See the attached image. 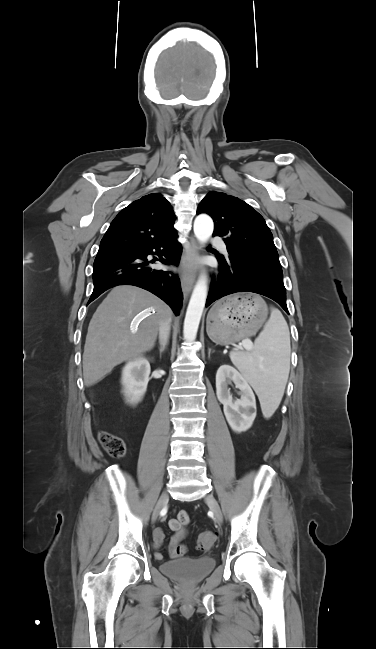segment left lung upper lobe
<instances>
[{"mask_svg": "<svg viewBox=\"0 0 376 649\" xmlns=\"http://www.w3.org/2000/svg\"><path fill=\"white\" fill-rule=\"evenodd\" d=\"M207 213L214 221V236L235 253L261 259L281 267L272 233L263 217L237 197L209 192L199 204L197 214Z\"/></svg>", "mask_w": 376, "mask_h": 649, "instance_id": "5c2ea615", "label": "left lung upper lobe"}]
</instances>
